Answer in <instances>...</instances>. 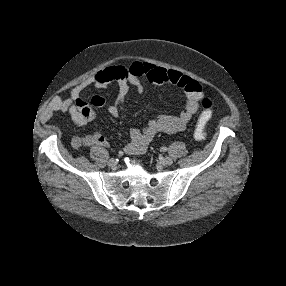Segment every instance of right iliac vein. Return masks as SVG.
I'll return each mask as SVG.
<instances>
[{"instance_id": "right-iliac-vein-1", "label": "right iliac vein", "mask_w": 286, "mask_h": 286, "mask_svg": "<svg viewBox=\"0 0 286 286\" xmlns=\"http://www.w3.org/2000/svg\"><path fill=\"white\" fill-rule=\"evenodd\" d=\"M116 161H115V159H110L109 161H108V166L110 167V168H112V169H114V168H116Z\"/></svg>"}]
</instances>
